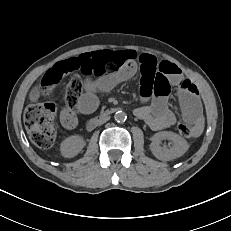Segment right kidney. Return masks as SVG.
I'll return each instance as SVG.
<instances>
[{
  "instance_id": "1",
  "label": "right kidney",
  "mask_w": 231,
  "mask_h": 231,
  "mask_svg": "<svg viewBox=\"0 0 231 231\" xmlns=\"http://www.w3.org/2000/svg\"><path fill=\"white\" fill-rule=\"evenodd\" d=\"M84 146L85 141L82 136L72 135L61 143V154L66 158H72L76 156Z\"/></svg>"
}]
</instances>
